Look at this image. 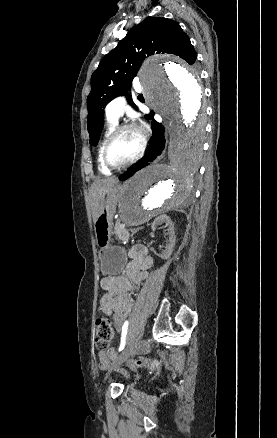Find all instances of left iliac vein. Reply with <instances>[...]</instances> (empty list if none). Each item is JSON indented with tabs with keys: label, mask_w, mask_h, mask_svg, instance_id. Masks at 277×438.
Listing matches in <instances>:
<instances>
[{
	"label": "left iliac vein",
	"mask_w": 277,
	"mask_h": 438,
	"mask_svg": "<svg viewBox=\"0 0 277 438\" xmlns=\"http://www.w3.org/2000/svg\"><path fill=\"white\" fill-rule=\"evenodd\" d=\"M144 335V328H142L139 333L137 334V336L128 343V345L126 346V348L123 350V352L120 354V356L118 357V359L114 362L113 364V368L117 367L118 365L122 364L123 362H125L133 353L134 349L137 347V345L139 344L140 340L142 339ZM107 378V377H106Z\"/></svg>",
	"instance_id": "1"
}]
</instances>
